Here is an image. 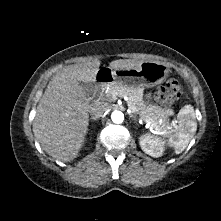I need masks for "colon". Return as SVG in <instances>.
Masks as SVG:
<instances>
[{
	"instance_id": "5ec220e1",
	"label": "colon",
	"mask_w": 221,
	"mask_h": 221,
	"mask_svg": "<svg viewBox=\"0 0 221 221\" xmlns=\"http://www.w3.org/2000/svg\"><path fill=\"white\" fill-rule=\"evenodd\" d=\"M182 95L180 84L175 80L168 81L157 93L158 98L168 104L174 103Z\"/></svg>"
}]
</instances>
